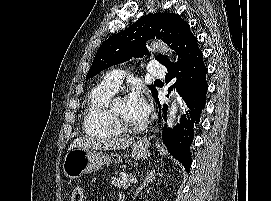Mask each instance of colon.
<instances>
[{"label": "colon", "instance_id": "1", "mask_svg": "<svg viewBox=\"0 0 271 201\" xmlns=\"http://www.w3.org/2000/svg\"><path fill=\"white\" fill-rule=\"evenodd\" d=\"M72 201H84V192L81 187L74 188L72 192Z\"/></svg>", "mask_w": 271, "mask_h": 201}]
</instances>
